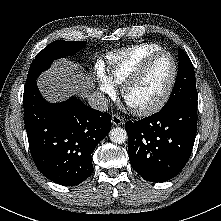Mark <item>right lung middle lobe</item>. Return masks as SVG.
<instances>
[{"label": "right lung middle lobe", "mask_w": 221, "mask_h": 221, "mask_svg": "<svg viewBox=\"0 0 221 221\" xmlns=\"http://www.w3.org/2000/svg\"><path fill=\"white\" fill-rule=\"evenodd\" d=\"M85 41H65L57 40L49 44L40 51L33 60L25 85H30L36 81L41 72L49 68L52 61L76 53L78 50L85 48Z\"/></svg>", "instance_id": "dd1d6c3e"}]
</instances>
